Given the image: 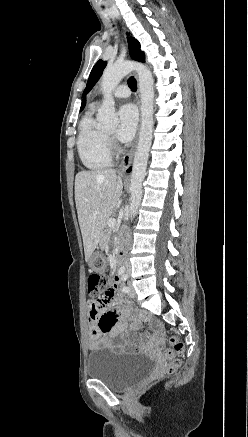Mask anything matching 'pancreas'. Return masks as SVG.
<instances>
[{"instance_id":"1","label":"pancreas","mask_w":248,"mask_h":437,"mask_svg":"<svg viewBox=\"0 0 248 437\" xmlns=\"http://www.w3.org/2000/svg\"><path fill=\"white\" fill-rule=\"evenodd\" d=\"M107 221H108V220H107ZM107 221H106V223H105V230H104L105 233L108 231V227H109L108 224H107Z\"/></svg>"}]
</instances>
